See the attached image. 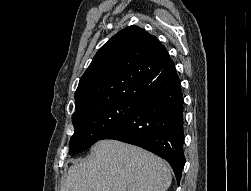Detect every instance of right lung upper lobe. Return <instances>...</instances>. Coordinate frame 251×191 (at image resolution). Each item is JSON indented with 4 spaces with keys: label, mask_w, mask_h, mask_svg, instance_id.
<instances>
[{
    "label": "right lung upper lobe",
    "mask_w": 251,
    "mask_h": 191,
    "mask_svg": "<svg viewBox=\"0 0 251 191\" xmlns=\"http://www.w3.org/2000/svg\"><path fill=\"white\" fill-rule=\"evenodd\" d=\"M178 79L160 41L142 28L129 26L94 56L75 92V110L111 101L140 104Z\"/></svg>",
    "instance_id": "1"
}]
</instances>
